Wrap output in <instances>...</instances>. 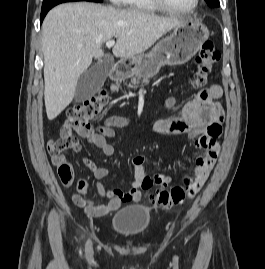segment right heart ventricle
<instances>
[{
  "instance_id": "e07e8e85",
  "label": "right heart ventricle",
  "mask_w": 265,
  "mask_h": 269,
  "mask_svg": "<svg viewBox=\"0 0 265 269\" xmlns=\"http://www.w3.org/2000/svg\"><path fill=\"white\" fill-rule=\"evenodd\" d=\"M123 5L129 9L154 12L159 10L151 0H124Z\"/></svg>"
}]
</instances>
